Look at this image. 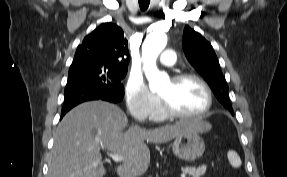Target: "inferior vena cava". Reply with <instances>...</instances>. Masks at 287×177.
<instances>
[{"mask_svg":"<svg viewBox=\"0 0 287 177\" xmlns=\"http://www.w3.org/2000/svg\"><path fill=\"white\" fill-rule=\"evenodd\" d=\"M126 177H134V174L129 172L126 174Z\"/></svg>","mask_w":287,"mask_h":177,"instance_id":"inferior-vena-cava-1","label":"inferior vena cava"}]
</instances>
